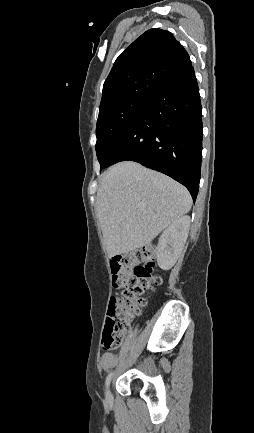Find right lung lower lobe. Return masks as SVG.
<instances>
[{"mask_svg": "<svg viewBox=\"0 0 254 433\" xmlns=\"http://www.w3.org/2000/svg\"><path fill=\"white\" fill-rule=\"evenodd\" d=\"M202 108L192 65L164 83L115 145L105 168L131 160L183 184L195 202L201 171Z\"/></svg>", "mask_w": 254, "mask_h": 433, "instance_id": "98d812e1", "label": "right lung lower lobe"}]
</instances>
